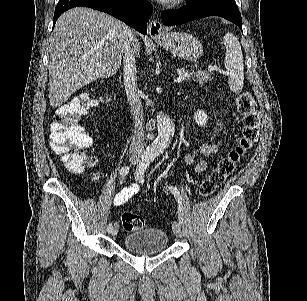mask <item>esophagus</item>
I'll return each mask as SVG.
<instances>
[{
	"mask_svg": "<svg viewBox=\"0 0 307 301\" xmlns=\"http://www.w3.org/2000/svg\"><path fill=\"white\" fill-rule=\"evenodd\" d=\"M148 33L153 40H159L163 38L165 31L158 20H151L148 25Z\"/></svg>",
	"mask_w": 307,
	"mask_h": 301,
	"instance_id": "esophagus-1",
	"label": "esophagus"
}]
</instances>
